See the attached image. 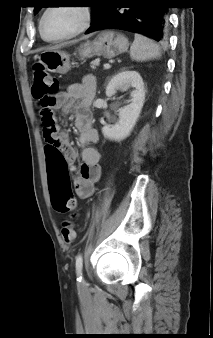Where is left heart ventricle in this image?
<instances>
[{"label":"left heart ventricle","instance_id":"1","mask_svg":"<svg viewBox=\"0 0 213 338\" xmlns=\"http://www.w3.org/2000/svg\"><path fill=\"white\" fill-rule=\"evenodd\" d=\"M82 22V13L73 7H57L51 10L43 24V34L53 39L75 31Z\"/></svg>","mask_w":213,"mask_h":338}]
</instances>
